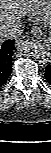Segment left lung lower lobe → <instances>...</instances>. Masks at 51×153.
I'll return each instance as SVG.
<instances>
[{
    "label": "left lung lower lobe",
    "mask_w": 51,
    "mask_h": 153,
    "mask_svg": "<svg viewBox=\"0 0 51 153\" xmlns=\"http://www.w3.org/2000/svg\"><path fill=\"white\" fill-rule=\"evenodd\" d=\"M45 78L51 84V64L46 67Z\"/></svg>",
    "instance_id": "1"
}]
</instances>
